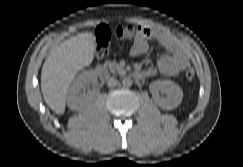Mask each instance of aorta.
Wrapping results in <instances>:
<instances>
[{
	"mask_svg": "<svg viewBox=\"0 0 243 167\" xmlns=\"http://www.w3.org/2000/svg\"><path fill=\"white\" fill-rule=\"evenodd\" d=\"M133 84V80L130 77H125L122 80V85L125 88L131 87Z\"/></svg>",
	"mask_w": 243,
	"mask_h": 167,
	"instance_id": "obj_1",
	"label": "aorta"
}]
</instances>
